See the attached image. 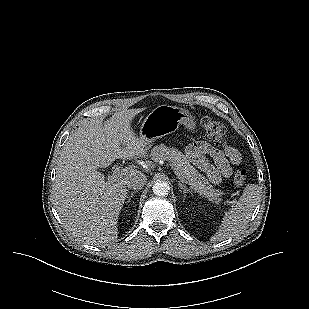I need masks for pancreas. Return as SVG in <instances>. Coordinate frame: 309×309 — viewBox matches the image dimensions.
<instances>
[{
    "label": "pancreas",
    "mask_w": 309,
    "mask_h": 309,
    "mask_svg": "<svg viewBox=\"0 0 309 309\" xmlns=\"http://www.w3.org/2000/svg\"><path fill=\"white\" fill-rule=\"evenodd\" d=\"M153 160H165L173 165L181 174L191 188L209 201L218 204L223 192L214 189L208 180L195 170L188 162L185 155L176 148H169L163 144L155 146L151 151Z\"/></svg>",
    "instance_id": "cf45deb5"
}]
</instances>
